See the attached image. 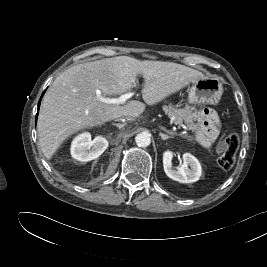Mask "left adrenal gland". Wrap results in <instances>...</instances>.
Masks as SVG:
<instances>
[{
  "label": "left adrenal gland",
  "mask_w": 267,
  "mask_h": 267,
  "mask_svg": "<svg viewBox=\"0 0 267 267\" xmlns=\"http://www.w3.org/2000/svg\"><path fill=\"white\" fill-rule=\"evenodd\" d=\"M161 129L163 131H165L167 134H169V135H166V134L160 133L159 135L161 136L162 140H166V139H169V138H174V136L177 135L176 133L167 130L165 127H161Z\"/></svg>",
  "instance_id": "a2214340"
}]
</instances>
